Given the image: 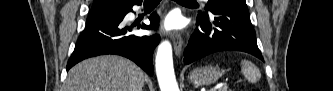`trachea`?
Listing matches in <instances>:
<instances>
[{"label": "trachea", "mask_w": 333, "mask_h": 91, "mask_svg": "<svg viewBox=\"0 0 333 91\" xmlns=\"http://www.w3.org/2000/svg\"><path fill=\"white\" fill-rule=\"evenodd\" d=\"M149 2H159V0H148V1H146V3H149ZM176 2H178V3H185V2H193V0H176Z\"/></svg>", "instance_id": "trachea-1"}]
</instances>
